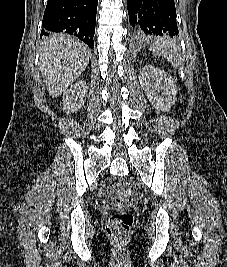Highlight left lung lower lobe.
Here are the masks:
<instances>
[{"instance_id": "left-lung-lower-lobe-1", "label": "left lung lower lobe", "mask_w": 227, "mask_h": 267, "mask_svg": "<svg viewBox=\"0 0 227 267\" xmlns=\"http://www.w3.org/2000/svg\"><path fill=\"white\" fill-rule=\"evenodd\" d=\"M127 8L132 34L137 39L179 33L174 0H127Z\"/></svg>"}]
</instances>
